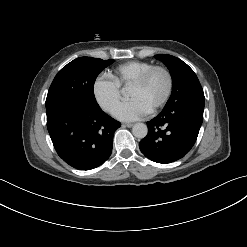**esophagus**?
Wrapping results in <instances>:
<instances>
[{
	"instance_id": "esophagus-1",
	"label": "esophagus",
	"mask_w": 247,
	"mask_h": 247,
	"mask_svg": "<svg viewBox=\"0 0 247 247\" xmlns=\"http://www.w3.org/2000/svg\"><path fill=\"white\" fill-rule=\"evenodd\" d=\"M134 124L133 123H123L122 126L124 127H132Z\"/></svg>"
}]
</instances>
